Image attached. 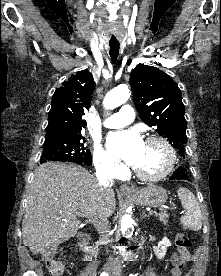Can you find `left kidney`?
<instances>
[{
  "label": "left kidney",
  "instance_id": "1",
  "mask_svg": "<svg viewBox=\"0 0 221 276\" xmlns=\"http://www.w3.org/2000/svg\"><path fill=\"white\" fill-rule=\"evenodd\" d=\"M169 246H171V242L168 238L164 237L162 241L158 243V246L154 247V253L158 259H163L165 257Z\"/></svg>",
  "mask_w": 221,
  "mask_h": 276
}]
</instances>
